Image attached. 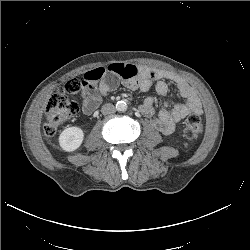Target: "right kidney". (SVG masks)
Instances as JSON below:
<instances>
[{
    "instance_id": "obj_1",
    "label": "right kidney",
    "mask_w": 250,
    "mask_h": 250,
    "mask_svg": "<svg viewBox=\"0 0 250 250\" xmlns=\"http://www.w3.org/2000/svg\"><path fill=\"white\" fill-rule=\"evenodd\" d=\"M84 139L83 130L79 127H69L62 131L59 136L61 148L67 152L78 149Z\"/></svg>"
}]
</instances>
